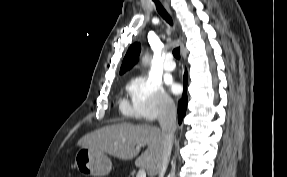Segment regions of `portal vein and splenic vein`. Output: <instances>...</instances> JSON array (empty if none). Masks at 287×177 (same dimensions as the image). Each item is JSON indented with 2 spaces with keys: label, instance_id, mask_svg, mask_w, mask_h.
Here are the masks:
<instances>
[{
  "label": "portal vein and splenic vein",
  "instance_id": "portal-vein-and-splenic-vein-1",
  "mask_svg": "<svg viewBox=\"0 0 287 177\" xmlns=\"http://www.w3.org/2000/svg\"><path fill=\"white\" fill-rule=\"evenodd\" d=\"M136 177H146V172L145 170L142 168L138 171Z\"/></svg>",
  "mask_w": 287,
  "mask_h": 177
}]
</instances>
